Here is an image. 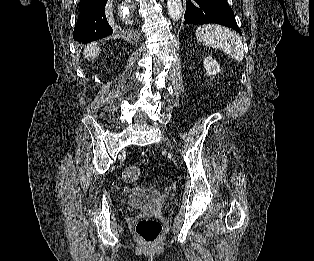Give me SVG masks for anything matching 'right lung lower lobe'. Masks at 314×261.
I'll use <instances>...</instances> for the list:
<instances>
[{"label":"right lung lower lobe","mask_w":314,"mask_h":261,"mask_svg":"<svg viewBox=\"0 0 314 261\" xmlns=\"http://www.w3.org/2000/svg\"><path fill=\"white\" fill-rule=\"evenodd\" d=\"M106 3L107 0H80V14L74 28V40L86 44L113 33L105 15Z\"/></svg>","instance_id":"1"}]
</instances>
